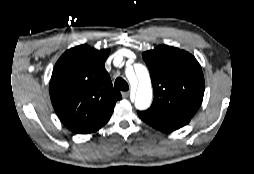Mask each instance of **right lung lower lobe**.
I'll return each instance as SVG.
<instances>
[{"instance_id":"obj_1","label":"right lung lower lobe","mask_w":254,"mask_h":174,"mask_svg":"<svg viewBox=\"0 0 254 174\" xmlns=\"http://www.w3.org/2000/svg\"><path fill=\"white\" fill-rule=\"evenodd\" d=\"M109 119H107L106 121H104L102 124L82 133V134H88V133H92V132H95L96 130H98L99 128H101L104 124H106V122L108 121Z\"/></svg>"}]
</instances>
